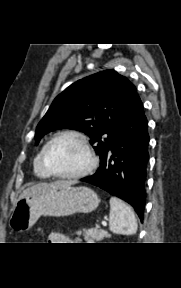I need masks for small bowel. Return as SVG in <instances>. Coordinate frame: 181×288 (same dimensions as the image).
Listing matches in <instances>:
<instances>
[{"label": "small bowel", "mask_w": 181, "mask_h": 288, "mask_svg": "<svg viewBox=\"0 0 181 288\" xmlns=\"http://www.w3.org/2000/svg\"><path fill=\"white\" fill-rule=\"evenodd\" d=\"M66 241H67V238L62 233H59V232L51 233L48 238V243H52V244L63 243Z\"/></svg>", "instance_id": "small-bowel-1"}]
</instances>
